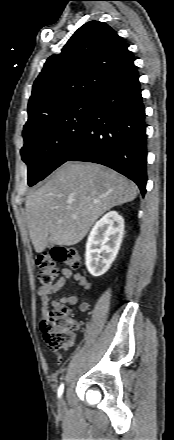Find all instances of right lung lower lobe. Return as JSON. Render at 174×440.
I'll use <instances>...</instances> for the list:
<instances>
[{"instance_id": "98d812e1", "label": "right lung lower lobe", "mask_w": 174, "mask_h": 440, "mask_svg": "<svg viewBox=\"0 0 174 440\" xmlns=\"http://www.w3.org/2000/svg\"><path fill=\"white\" fill-rule=\"evenodd\" d=\"M138 78L132 64L93 91L87 129L66 161H88L110 167L133 180L144 196L147 135Z\"/></svg>"}]
</instances>
